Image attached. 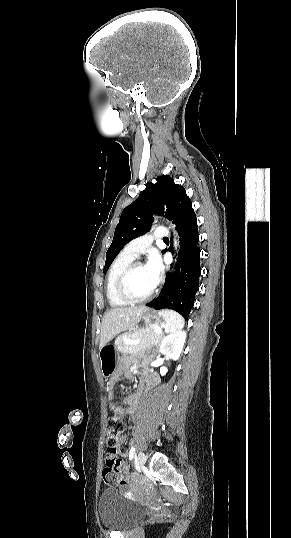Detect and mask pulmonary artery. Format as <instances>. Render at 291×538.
Listing matches in <instances>:
<instances>
[{
    "label": "pulmonary artery",
    "instance_id": "obj_1",
    "mask_svg": "<svg viewBox=\"0 0 291 538\" xmlns=\"http://www.w3.org/2000/svg\"><path fill=\"white\" fill-rule=\"evenodd\" d=\"M169 234L167 228L159 227L152 234H146L132 240L125 246L124 250L136 258L150 247L154 239L168 238Z\"/></svg>",
    "mask_w": 291,
    "mask_h": 538
}]
</instances>
